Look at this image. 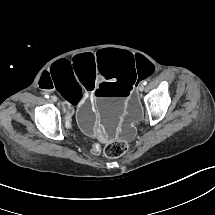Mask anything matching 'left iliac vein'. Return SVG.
<instances>
[{"instance_id":"4c4485c4","label":"left iliac vein","mask_w":215,"mask_h":215,"mask_svg":"<svg viewBox=\"0 0 215 215\" xmlns=\"http://www.w3.org/2000/svg\"><path fill=\"white\" fill-rule=\"evenodd\" d=\"M138 90L141 91V92L144 90V84L143 83H141L139 85Z\"/></svg>"}]
</instances>
